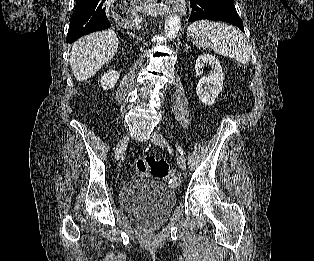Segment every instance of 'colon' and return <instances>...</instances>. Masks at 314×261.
Here are the masks:
<instances>
[{
	"instance_id": "colon-1",
	"label": "colon",
	"mask_w": 314,
	"mask_h": 261,
	"mask_svg": "<svg viewBox=\"0 0 314 261\" xmlns=\"http://www.w3.org/2000/svg\"><path fill=\"white\" fill-rule=\"evenodd\" d=\"M168 163L163 159L152 156L139 158L134 166V177H150L155 179H167L171 176Z\"/></svg>"
}]
</instances>
